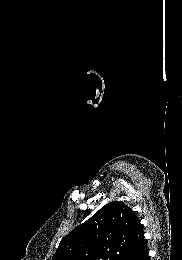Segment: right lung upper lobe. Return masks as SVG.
<instances>
[{"label":"right lung upper lobe","mask_w":182,"mask_h":260,"mask_svg":"<svg viewBox=\"0 0 182 260\" xmlns=\"http://www.w3.org/2000/svg\"><path fill=\"white\" fill-rule=\"evenodd\" d=\"M145 242L136 213L114 201L66 235L52 260H124Z\"/></svg>","instance_id":"right-lung-upper-lobe-1"}]
</instances>
